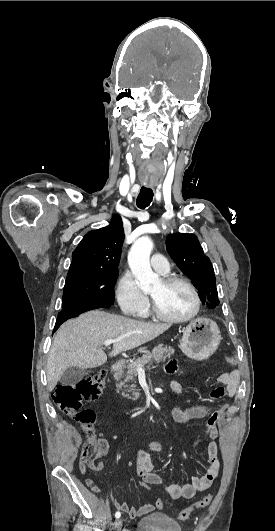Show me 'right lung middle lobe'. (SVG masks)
<instances>
[{"instance_id": "right-lung-middle-lobe-1", "label": "right lung middle lobe", "mask_w": 275, "mask_h": 531, "mask_svg": "<svg viewBox=\"0 0 275 531\" xmlns=\"http://www.w3.org/2000/svg\"><path fill=\"white\" fill-rule=\"evenodd\" d=\"M118 271H82L68 274L63 304L82 303L110 307L114 303V284Z\"/></svg>"}]
</instances>
